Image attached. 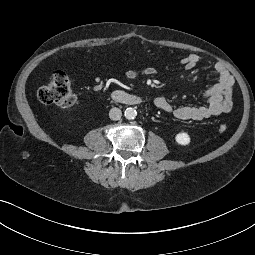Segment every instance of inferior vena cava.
<instances>
[{
    "label": "inferior vena cava",
    "mask_w": 255,
    "mask_h": 255,
    "mask_svg": "<svg viewBox=\"0 0 255 255\" xmlns=\"http://www.w3.org/2000/svg\"><path fill=\"white\" fill-rule=\"evenodd\" d=\"M122 116V112L119 108H112L109 111V117L111 120H119Z\"/></svg>",
    "instance_id": "obj_1"
}]
</instances>
